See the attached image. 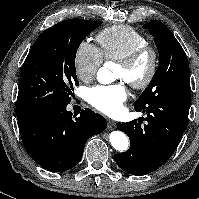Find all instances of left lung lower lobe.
Listing matches in <instances>:
<instances>
[{
    "instance_id": "left-lung-lower-lobe-1",
    "label": "left lung lower lobe",
    "mask_w": 199,
    "mask_h": 199,
    "mask_svg": "<svg viewBox=\"0 0 199 199\" xmlns=\"http://www.w3.org/2000/svg\"><path fill=\"white\" fill-rule=\"evenodd\" d=\"M189 108V104L179 102L158 103L145 111L147 123L144 126L136 120L118 123L117 128L130 139V148L115 155L117 165L137 176L161 167L172 156L182 138Z\"/></svg>"
}]
</instances>
